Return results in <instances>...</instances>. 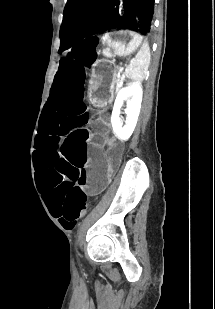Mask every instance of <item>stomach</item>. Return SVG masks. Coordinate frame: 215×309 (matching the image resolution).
Wrapping results in <instances>:
<instances>
[{"label":"stomach","mask_w":215,"mask_h":309,"mask_svg":"<svg viewBox=\"0 0 215 309\" xmlns=\"http://www.w3.org/2000/svg\"><path fill=\"white\" fill-rule=\"evenodd\" d=\"M102 54L105 58L98 60L91 71L88 81L90 96L97 100H107L112 93L117 77L116 57H127L142 45L143 37L131 30H114L101 37Z\"/></svg>","instance_id":"obj_1"}]
</instances>
